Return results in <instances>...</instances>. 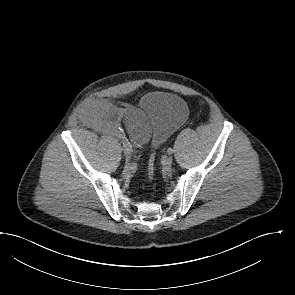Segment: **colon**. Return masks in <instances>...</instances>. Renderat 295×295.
Here are the masks:
<instances>
[{
	"label": "colon",
	"mask_w": 295,
	"mask_h": 295,
	"mask_svg": "<svg viewBox=\"0 0 295 295\" xmlns=\"http://www.w3.org/2000/svg\"><path fill=\"white\" fill-rule=\"evenodd\" d=\"M154 170H155V155L152 154L149 157L148 166H147V174H148V179L149 180H152L153 179Z\"/></svg>",
	"instance_id": "obj_1"
}]
</instances>
